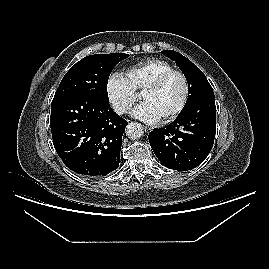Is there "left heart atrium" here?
Instances as JSON below:
<instances>
[{
    "instance_id": "obj_1",
    "label": "left heart atrium",
    "mask_w": 269,
    "mask_h": 269,
    "mask_svg": "<svg viewBox=\"0 0 269 269\" xmlns=\"http://www.w3.org/2000/svg\"><path fill=\"white\" fill-rule=\"evenodd\" d=\"M132 115L144 122L155 123L160 120L157 113L148 102H142L134 108Z\"/></svg>"
}]
</instances>
